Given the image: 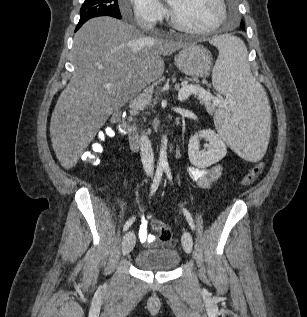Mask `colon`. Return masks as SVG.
Wrapping results in <instances>:
<instances>
[{"instance_id": "obj_1", "label": "colon", "mask_w": 307, "mask_h": 317, "mask_svg": "<svg viewBox=\"0 0 307 317\" xmlns=\"http://www.w3.org/2000/svg\"><path fill=\"white\" fill-rule=\"evenodd\" d=\"M126 131L127 123L124 119H120L112 125L105 127L96 135L95 140L83 153V162L90 166L98 164L100 161V156L104 151L103 142L105 141V139L125 135ZM264 168V162L256 163L243 177V179L241 180V185L250 186L251 184H253L263 172ZM151 225L157 234V238L161 242L168 243L171 241V230L166 224L156 219H151Z\"/></svg>"}]
</instances>
